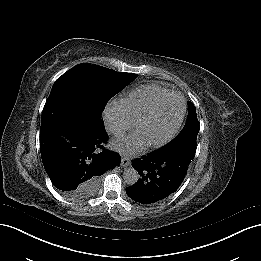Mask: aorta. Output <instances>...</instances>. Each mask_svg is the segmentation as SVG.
<instances>
[{"label": "aorta", "instance_id": "obj_1", "mask_svg": "<svg viewBox=\"0 0 261 261\" xmlns=\"http://www.w3.org/2000/svg\"><path fill=\"white\" fill-rule=\"evenodd\" d=\"M123 179L128 186H133L140 179V174L135 168L126 167L123 172Z\"/></svg>", "mask_w": 261, "mask_h": 261}]
</instances>
